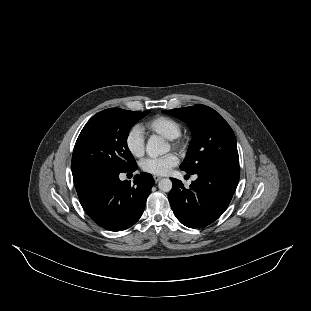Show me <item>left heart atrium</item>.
Masks as SVG:
<instances>
[{
    "label": "left heart atrium",
    "instance_id": "1",
    "mask_svg": "<svg viewBox=\"0 0 311 311\" xmlns=\"http://www.w3.org/2000/svg\"><path fill=\"white\" fill-rule=\"evenodd\" d=\"M179 161L176 153H168L162 157L145 159L140 163V168L145 174L163 177L168 175Z\"/></svg>",
    "mask_w": 311,
    "mask_h": 311
}]
</instances>
